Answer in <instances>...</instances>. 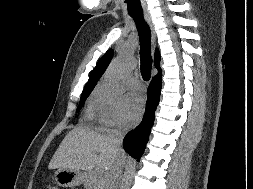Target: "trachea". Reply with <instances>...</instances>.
Segmentation results:
<instances>
[{"label": "trachea", "instance_id": "1", "mask_svg": "<svg viewBox=\"0 0 253 189\" xmlns=\"http://www.w3.org/2000/svg\"><path fill=\"white\" fill-rule=\"evenodd\" d=\"M130 5V3H128ZM136 23L140 40L141 75L148 81L151 77V31L142 14H130Z\"/></svg>", "mask_w": 253, "mask_h": 189}]
</instances>
